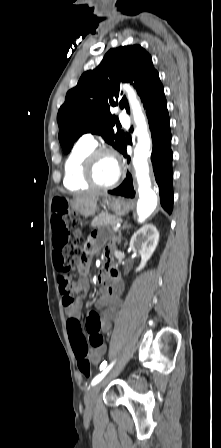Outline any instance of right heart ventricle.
<instances>
[{
  "mask_svg": "<svg viewBox=\"0 0 221 448\" xmlns=\"http://www.w3.org/2000/svg\"><path fill=\"white\" fill-rule=\"evenodd\" d=\"M94 147L78 142L69 153L64 166V186L70 190H85L90 187L82 177V162Z\"/></svg>",
  "mask_w": 221,
  "mask_h": 448,
  "instance_id": "right-heart-ventricle-1",
  "label": "right heart ventricle"
}]
</instances>
